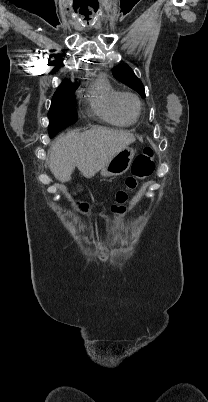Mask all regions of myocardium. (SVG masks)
Wrapping results in <instances>:
<instances>
[{"label": "myocardium", "mask_w": 208, "mask_h": 402, "mask_svg": "<svg viewBox=\"0 0 208 402\" xmlns=\"http://www.w3.org/2000/svg\"><path fill=\"white\" fill-rule=\"evenodd\" d=\"M127 97L132 98L137 104L138 109H137L136 114H134V115L131 114L130 112H128L126 110V108L124 107L123 101ZM117 107L122 115H124L126 118H128L132 121H137L142 113V102H141L140 98L132 92H121L117 99Z\"/></svg>", "instance_id": "obj_1"}]
</instances>
